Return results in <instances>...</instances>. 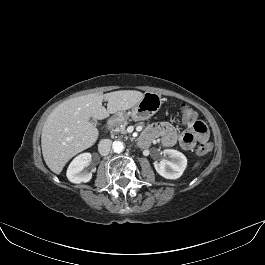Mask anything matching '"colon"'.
<instances>
[{"mask_svg": "<svg viewBox=\"0 0 265 265\" xmlns=\"http://www.w3.org/2000/svg\"><path fill=\"white\" fill-rule=\"evenodd\" d=\"M181 114L185 120H195L197 116L196 111L186 104L181 105ZM210 149L211 145L209 143H203L198 147L197 153L199 155H204L208 153Z\"/></svg>", "mask_w": 265, "mask_h": 265, "instance_id": "5ec220e1", "label": "colon"}]
</instances>
